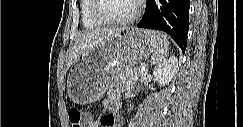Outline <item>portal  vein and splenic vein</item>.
Returning <instances> with one entry per match:
<instances>
[{
    "label": "portal vein and splenic vein",
    "mask_w": 243,
    "mask_h": 127,
    "mask_svg": "<svg viewBox=\"0 0 243 127\" xmlns=\"http://www.w3.org/2000/svg\"><path fill=\"white\" fill-rule=\"evenodd\" d=\"M140 72L141 74H146V68L145 67L140 68Z\"/></svg>",
    "instance_id": "portal-vein-and-splenic-vein-1"
}]
</instances>
